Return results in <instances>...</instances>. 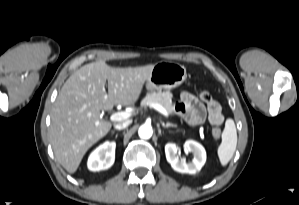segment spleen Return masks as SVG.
I'll list each match as a JSON object with an SVG mask.
<instances>
[{"instance_id":"3e777b00","label":"spleen","mask_w":299,"mask_h":205,"mask_svg":"<svg viewBox=\"0 0 299 205\" xmlns=\"http://www.w3.org/2000/svg\"><path fill=\"white\" fill-rule=\"evenodd\" d=\"M237 146V131L232 119H228L222 134V142L217 153L222 166H226L232 159Z\"/></svg>"}]
</instances>
